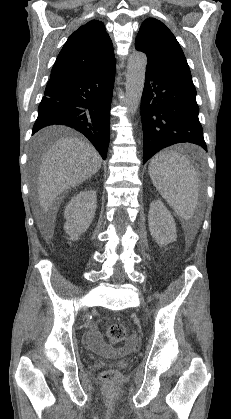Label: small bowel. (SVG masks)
I'll return each instance as SVG.
<instances>
[{
	"instance_id": "c3829d8e",
	"label": "small bowel",
	"mask_w": 231,
	"mask_h": 419,
	"mask_svg": "<svg viewBox=\"0 0 231 419\" xmlns=\"http://www.w3.org/2000/svg\"><path fill=\"white\" fill-rule=\"evenodd\" d=\"M89 345L93 350H99L100 338L99 331L96 326H92L88 333Z\"/></svg>"
}]
</instances>
